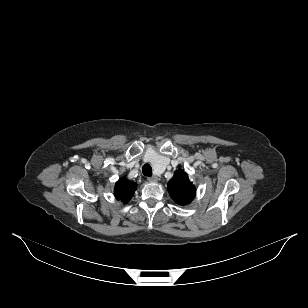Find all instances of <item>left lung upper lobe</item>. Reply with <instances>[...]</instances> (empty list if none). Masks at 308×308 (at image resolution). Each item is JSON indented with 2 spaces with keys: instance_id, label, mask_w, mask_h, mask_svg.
Here are the masks:
<instances>
[{
  "instance_id": "1",
  "label": "left lung upper lobe",
  "mask_w": 308,
  "mask_h": 308,
  "mask_svg": "<svg viewBox=\"0 0 308 308\" xmlns=\"http://www.w3.org/2000/svg\"><path fill=\"white\" fill-rule=\"evenodd\" d=\"M168 191L177 204L186 205L193 200L196 190L184 170L179 169L169 180Z\"/></svg>"
}]
</instances>
